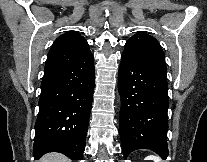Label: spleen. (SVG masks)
I'll use <instances>...</instances> for the list:
<instances>
[{
  "label": "spleen",
  "mask_w": 207,
  "mask_h": 162,
  "mask_svg": "<svg viewBox=\"0 0 207 162\" xmlns=\"http://www.w3.org/2000/svg\"><path fill=\"white\" fill-rule=\"evenodd\" d=\"M145 160H153L154 162H163L160 157L154 155H150L146 157Z\"/></svg>",
  "instance_id": "obj_1"
}]
</instances>
